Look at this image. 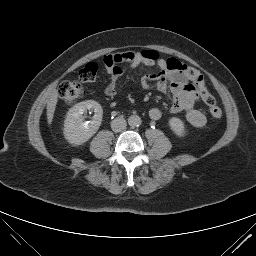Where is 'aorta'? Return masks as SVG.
Listing matches in <instances>:
<instances>
[{"label":"aorta","mask_w":256,"mask_h":256,"mask_svg":"<svg viewBox=\"0 0 256 256\" xmlns=\"http://www.w3.org/2000/svg\"><path fill=\"white\" fill-rule=\"evenodd\" d=\"M128 123L132 127L139 126L141 124V118L138 115H131L128 118Z\"/></svg>","instance_id":"1"}]
</instances>
